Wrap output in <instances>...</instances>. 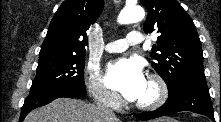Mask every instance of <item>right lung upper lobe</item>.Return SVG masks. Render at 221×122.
Returning <instances> with one entry per match:
<instances>
[{"instance_id": "obj_1", "label": "right lung upper lobe", "mask_w": 221, "mask_h": 122, "mask_svg": "<svg viewBox=\"0 0 221 122\" xmlns=\"http://www.w3.org/2000/svg\"><path fill=\"white\" fill-rule=\"evenodd\" d=\"M103 6V0H65L50 23L39 59L85 56L87 31L100 16Z\"/></svg>"}]
</instances>
